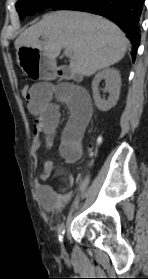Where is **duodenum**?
I'll return each instance as SVG.
<instances>
[{
  "mask_svg": "<svg viewBox=\"0 0 148 279\" xmlns=\"http://www.w3.org/2000/svg\"><path fill=\"white\" fill-rule=\"evenodd\" d=\"M57 74L58 77L63 80L76 79L78 77L68 66H59L57 68Z\"/></svg>",
  "mask_w": 148,
  "mask_h": 279,
  "instance_id": "obj_1",
  "label": "duodenum"
}]
</instances>
